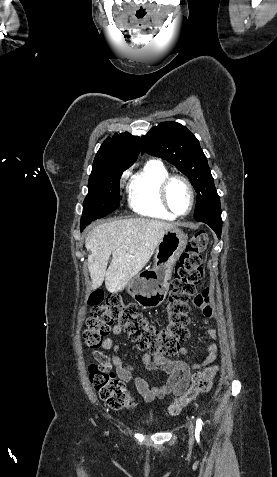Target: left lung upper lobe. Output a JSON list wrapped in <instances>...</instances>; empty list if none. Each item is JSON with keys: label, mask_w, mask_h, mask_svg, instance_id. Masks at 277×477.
Wrapping results in <instances>:
<instances>
[{"label": "left lung upper lobe", "mask_w": 277, "mask_h": 477, "mask_svg": "<svg viewBox=\"0 0 277 477\" xmlns=\"http://www.w3.org/2000/svg\"><path fill=\"white\" fill-rule=\"evenodd\" d=\"M141 150L167 160L189 178L197 193L196 220L221 213L207 158L186 127L176 122L160 123L141 137Z\"/></svg>", "instance_id": "obj_1"}]
</instances>
